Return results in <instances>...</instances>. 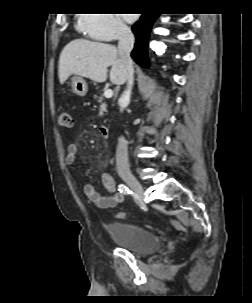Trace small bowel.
Masks as SVG:
<instances>
[{"label": "small bowel", "mask_w": 252, "mask_h": 303, "mask_svg": "<svg viewBox=\"0 0 252 303\" xmlns=\"http://www.w3.org/2000/svg\"><path fill=\"white\" fill-rule=\"evenodd\" d=\"M78 146L76 143H70L67 146V154L65 157V162L69 166H74L77 160ZM101 183L109 195H102L95 190V188L87 184L84 187V193L88 199L99 209H110L118 204L122 203L125 196L119 191L114 177L109 173H103L101 175Z\"/></svg>", "instance_id": "obj_1"}]
</instances>
